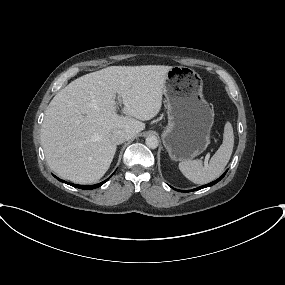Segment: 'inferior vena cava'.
I'll return each instance as SVG.
<instances>
[{
  "label": "inferior vena cava",
  "instance_id": "obj_1",
  "mask_svg": "<svg viewBox=\"0 0 285 285\" xmlns=\"http://www.w3.org/2000/svg\"><path fill=\"white\" fill-rule=\"evenodd\" d=\"M131 138L130 134L124 130H114L111 134V139L116 144H122L123 142L129 140Z\"/></svg>",
  "mask_w": 285,
  "mask_h": 285
}]
</instances>
